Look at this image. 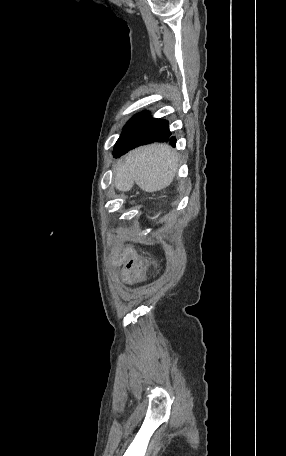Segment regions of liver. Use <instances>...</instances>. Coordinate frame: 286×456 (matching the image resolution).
<instances>
[{"instance_id":"obj_1","label":"liver","mask_w":286,"mask_h":456,"mask_svg":"<svg viewBox=\"0 0 286 456\" xmlns=\"http://www.w3.org/2000/svg\"><path fill=\"white\" fill-rule=\"evenodd\" d=\"M178 169V157L167 144L141 146L117 165L114 184L119 191H129L136 183L145 192L160 191L169 186Z\"/></svg>"}]
</instances>
